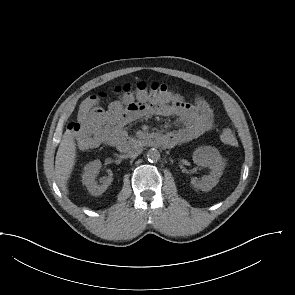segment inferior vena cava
<instances>
[{
    "label": "inferior vena cava",
    "instance_id": "1",
    "mask_svg": "<svg viewBox=\"0 0 295 295\" xmlns=\"http://www.w3.org/2000/svg\"><path fill=\"white\" fill-rule=\"evenodd\" d=\"M143 151V148L139 145H135L133 146L129 151H128V156L130 158H135L137 157L139 154H141V152Z\"/></svg>",
    "mask_w": 295,
    "mask_h": 295
}]
</instances>
